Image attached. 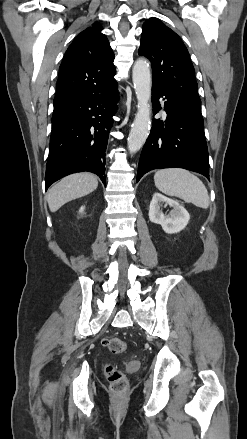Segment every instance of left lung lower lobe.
Returning <instances> with one entry per match:
<instances>
[{"label": "left lung lower lobe", "mask_w": 247, "mask_h": 439, "mask_svg": "<svg viewBox=\"0 0 247 439\" xmlns=\"http://www.w3.org/2000/svg\"><path fill=\"white\" fill-rule=\"evenodd\" d=\"M164 97L167 113L165 123L153 119L151 132L143 147L137 174V182L150 170L184 168L198 172L209 179L208 149L204 134L201 109H197L178 96L152 86L153 107H161ZM154 110V114L157 113Z\"/></svg>", "instance_id": "obj_1"}]
</instances>
